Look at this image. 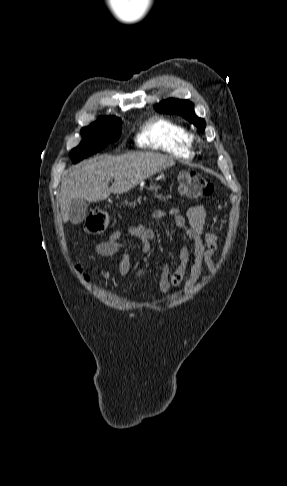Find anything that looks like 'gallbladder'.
I'll return each instance as SVG.
<instances>
[{
	"label": "gallbladder",
	"instance_id": "gallbladder-1",
	"mask_svg": "<svg viewBox=\"0 0 287 486\" xmlns=\"http://www.w3.org/2000/svg\"><path fill=\"white\" fill-rule=\"evenodd\" d=\"M88 203L84 200H73L69 208V219L74 225L80 224L87 216Z\"/></svg>",
	"mask_w": 287,
	"mask_h": 486
}]
</instances>
